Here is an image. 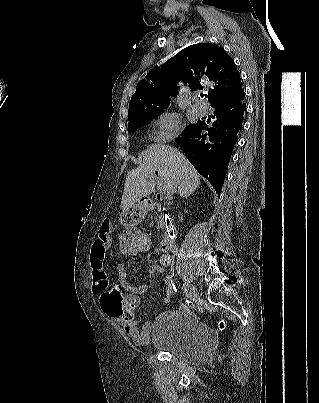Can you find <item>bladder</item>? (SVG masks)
Wrapping results in <instances>:
<instances>
[{
    "instance_id": "bladder-1",
    "label": "bladder",
    "mask_w": 319,
    "mask_h": 403,
    "mask_svg": "<svg viewBox=\"0 0 319 403\" xmlns=\"http://www.w3.org/2000/svg\"><path fill=\"white\" fill-rule=\"evenodd\" d=\"M149 345L183 362L201 364L210 358L215 339L209 327L198 318L169 310L153 322Z\"/></svg>"
}]
</instances>
